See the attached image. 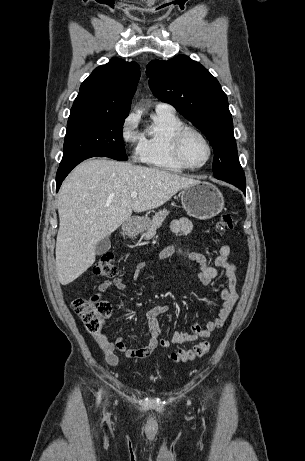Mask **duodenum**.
<instances>
[{"instance_id":"410a0bca","label":"duodenum","mask_w":305,"mask_h":461,"mask_svg":"<svg viewBox=\"0 0 305 461\" xmlns=\"http://www.w3.org/2000/svg\"><path fill=\"white\" fill-rule=\"evenodd\" d=\"M134 225H135V220L130 219L125 225V230H129V229L133 228Z\"/></svg>"}]
</instances>
